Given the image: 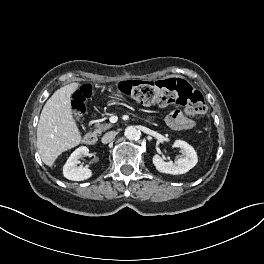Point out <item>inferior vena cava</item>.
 Segmentation results:
<instances>
[{"label": "inferior vena cava", "instance_id": "inferior-vena-cava-1", "mask_svg": "<svg viewBox=\"0 0 264 264\" xmlns=\"http://www.w3.org/2000/svg\"><path fill=\"white\" fill-rule=\"evenodd\" d=\"M116 132L115 131H110V132H107L105 135H103V137H102V143L103 144H107V143H109V142H111L114 138H115V136H116Z\"/></svg>", "mask_w": 264, "mask_h": 264}]
</instances>
